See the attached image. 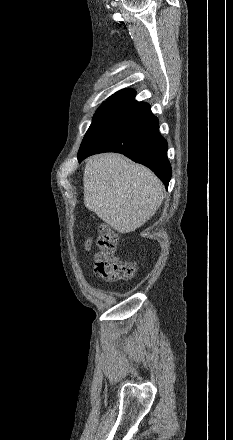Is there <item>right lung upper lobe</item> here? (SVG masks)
Returning a JSON list of instances; mask_svg holds the SVG:
<instances>
[{"mask_svg":"<svg viewBox=\"0 0 233 440\" xmlns=\"http://www.w3.org/2000/svg\"><path fill=\"white\" fill-rule=\"evenodd\" d=\"M134 98L135 91L130 89H123L110 96L104 103L119 104L125 106L135 101Z\"/></svg>","mask_w":233,"mask_h":440,"instance_id":"cb5924a9","label":"right lung upper lobe"}]
</instances>
